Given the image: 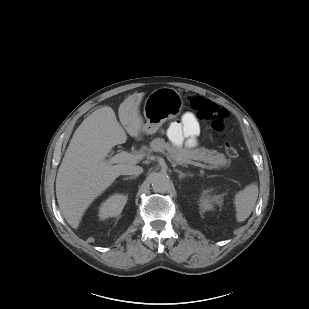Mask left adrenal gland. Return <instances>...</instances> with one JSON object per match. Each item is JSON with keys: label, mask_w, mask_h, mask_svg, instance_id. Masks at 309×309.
Listing matches in <instances>:
<instances>
[{"label": "left adrenal gland", "mask_w": 309, "mask_h": 309, "mask_svg": "<svg viewBox=\"0 0 309 309\" xmlns=\"http://www.w3.org/2000/svg\"><path fill=\"white\" fill-rule=\"evenodd\" d=\"M174 172H177L179 174V179H182L183 177H186V176H190V174L183 173L182 171L178 169H174Z\"/></svg>", "instance_id": "a2214340"}]
</instances>
